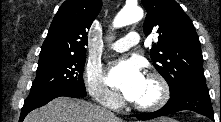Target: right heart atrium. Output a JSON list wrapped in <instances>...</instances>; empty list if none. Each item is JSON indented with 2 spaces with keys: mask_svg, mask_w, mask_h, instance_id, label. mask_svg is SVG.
Listing matches in <instances>:
<instances>
[{
  "mask_svg": "<svg viewBox=\"0 0 221 122\" xmlns=\"http://www.w3.org/2000/svg\"><path fill=\"white\" fill-rule=\"evenodd\" d=\"M84 80L89 94L97 103L112 109L121 105L120 96L106 85L103 73L98 67L87 66Z\"/></svg>",
  "mask_w": 221,
  "mask_h": 122,
  "instance_id": "right-heart-atrium-1",
  "label": "right heart atrium"
}]
</instances>
